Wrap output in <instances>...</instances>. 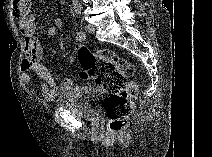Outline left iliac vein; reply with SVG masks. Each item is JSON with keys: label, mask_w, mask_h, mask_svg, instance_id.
<instances>
[{"label": "left iliac vein", "mask_w": 212, "mask_h": 157, "mask_svg": "<svg viewBox=\"0 0 212 157\" xmlns=\"http://www.w3.org/2000/svg\"><path fill=\"white\" fill-rule=\"evenodd\" d=\"M86 31L89 33H94L95 32V26L92 24H87L86 25Z\"/></svg>", "instance_id": "1"}]
</instances>
